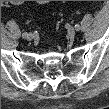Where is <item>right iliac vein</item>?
Returning a JSON list of instances; mask_svg holds the SVG:
<instances>
[{"mask_svg": "<svg viewBox=\"0 0 109 109\" xmlns=\"http://www.w3.org/2000/svg\"><path fill=\"white\" fill-rule=\"evenodd\" d=\"M27 40L31 41L34 39V35L32 33H27L26 37Z\"/></svg>", "mask_w": 109, "mask_h": 109, "instance_id": "1", "label": "right iliac vein"}]
</instances>
